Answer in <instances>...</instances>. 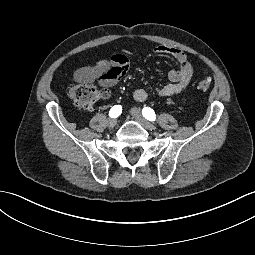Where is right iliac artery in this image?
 <instances>
[{"label": "right iliac artery", "mask_w": 255, "mask_h": 255, "mask_svg": "<svg viewBox=\"0 0 255 255\" xmlns=\"http://www.w3.org/2000/svg\"><path fill=\"white\" fill-rule=\"evenodd\" d=\"M121 112H122L121 105H115L110 109L109 116L111 118H117L121 114Z\"/></svg>", "instance_id": "obj_1"}]
</instances>
